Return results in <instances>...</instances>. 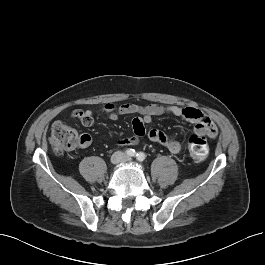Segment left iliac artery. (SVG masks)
Returning a JSON list of instances; mask_svg holds the SVG:
<instances>
[{
    "label": "left iliac artery",
    "instance_id": "obj_1",
    "mask_svg": "<svg viewBox=\"0 0 265 265\" xmlns=\"http://www.w3.org/2000/svg\"><path fill=\"white\" fill-rule=\"evenodd\" d=\"M136 158L138 161L142 162L145 160V154L143 152H139V153H137Z\"/></svg>",
    "mask_w": 265,
    "mask_h": 265
}]
</instances>
